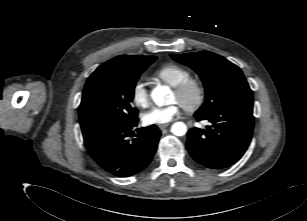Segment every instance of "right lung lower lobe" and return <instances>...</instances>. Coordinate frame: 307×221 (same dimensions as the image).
Segmentation results:
<instances>
[{"label": "right lung lower lobe", "mask_w": 307, "mask_h": 221, "mask_svg": "<svg viewBox=\"0 0 307 221\" xmlns=\"http://www.w3.org/2000/svg\"><path fill=\"white\" fill-rule=\"evenodd\" d=\"M138 119L108 128L84 141L93 159L117 177H129L145 169L151 162L160 138V130L152 125L137 129L135 138L128 139Z\"/></svg>", "instance_id": "98d812e1"}]
</instances>
